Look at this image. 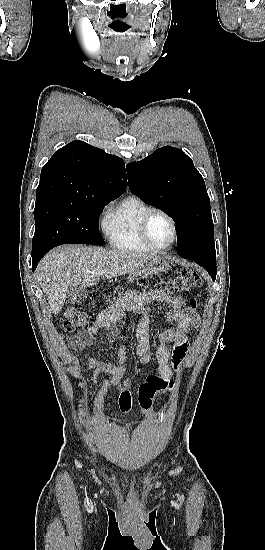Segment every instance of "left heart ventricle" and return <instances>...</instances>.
Here are the masks:
<instances>
[{"label": "left heart ventricle", "instance_id": "left-heart-ventricle-1", "mask_svg": "<svg viewBox=\"0 0 265 550\" xmlns=\"http://www.w3.org/2000/svg\"><path fill=\"white\" fill-rule=\"evenodd\" d=\"M148 232L151 240L158 246L167 245L172 239L170 222L160 214H154L151 217Z\"/></svg>", "mask_w": 265, "mask_h": 550}]
</instances>
